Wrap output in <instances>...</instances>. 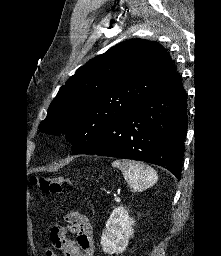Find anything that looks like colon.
Returning <instances> with one entry per match:
<instances>
[{
	"label": "colon",
	"instance_id": "obj_1",
	"mask_svg": "<svg viewBox=\"0 0 221 256\" xmlns=\"http://www.w3.org/2000/svg\"><path fill=\"white\" fill-rule=\"evenodd\" d=\"M32 183L46 194H68L73 190V183L66 177L34 178Z\"/></svg>",
	"mask_w": 221,
	"mask_h": 256
}]
</instances>
